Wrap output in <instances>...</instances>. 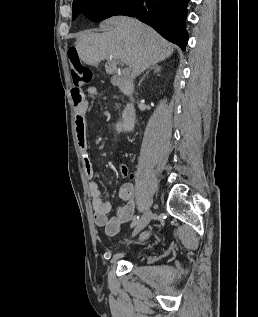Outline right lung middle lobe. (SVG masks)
<instances>
[{
	"label": "right lung middle lobe",
	"instance_id": "1",
	"mask_svg": "<svg viewBox=\"0 0 258 317\" xmlns=\"http://www.w3.org/2000/svg\"><path fill=\"white\" fill-rule=\"evenodd\" d=\"M121 0H73L72 18L75 20L82 12L95 22H100L114 15ZM84 15V14H83Z\"/></svg>",
	"mask_w": 258,
	"mask_h": 317
}]
</instances>
